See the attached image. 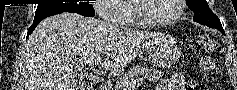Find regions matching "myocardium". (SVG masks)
I'll return each mask as SVG.
<instances>
[{
  "label": "myocardium",
  "instance_id": "myocardium-1",
  "mask_svg": "<svg viewBox=\"0 0 237 90\" xmlns=\"http://www.w3.org/2000/svg\"><path fill=\"white\" fill-rule=\"evenodd\" d=\"M139 1H148V0L131 1L134 8V15L138 20L141 28H161V27H169L176 24L184 14L185 6L183 5V3H187V0H175L174 4L176 5V12L171 19L163 21H150L147 20L145 17H143L142 14L140 13L138 6Z\"/></svg>",
  "mask_w": 237,
  "mask_h": 90
}]
</instances>
